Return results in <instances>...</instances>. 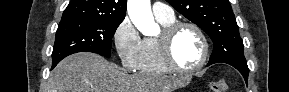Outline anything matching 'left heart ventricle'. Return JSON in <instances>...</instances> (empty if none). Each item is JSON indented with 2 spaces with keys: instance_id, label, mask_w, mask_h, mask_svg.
Returning <instances> with one entry per match:
<instances>
[{
  "instance_id": "obj_1",
  "label": "left heart ventricle",
  "mask_w": 289,
  "mask_h": 92,
  "mask_svg": "<svg viewBox=\"0 0 289 92\" xmlns=\"http://www.w3.org/2000/svg\"><path fill=\"white\" fill-rule=\"evenodd\" d=\"M202 42L190 28L181 29L175 36L172 55L176 64L184 69L195 67L202 56Z\"/></svg>"
}]
</instances>
